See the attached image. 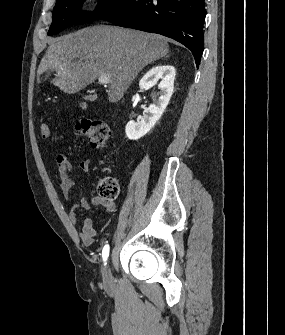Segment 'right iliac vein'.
Wrapping results in <instances>:
<instances>
[{
	"label": "right iliac vein",
	"instance_id": "63e3f726",
	"mask_svg": "<svg viewBox=\"0 0 285 335\" xmlns=\"http://www.w3.org/2000/svg\"><path fill=\"white\" fill-rule=\"evenodd\" d=\"M103 282L106 286H109L113 283L109 266H107L103 272Z\"/></svg>",
	"mask_w": 285,
	"mask_h": 335
}]
</instances>
